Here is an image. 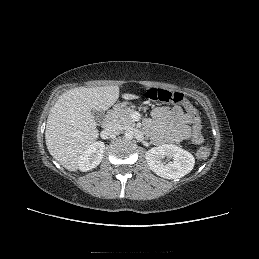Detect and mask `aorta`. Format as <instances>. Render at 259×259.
<instances>
[{
	"label": "aorta",
	"instance_id": "obj_1",
	"mask_svg": "<svg viewBox=\"0 0 259 259\" xmlns=\"http://www.w3.org/2000/svg\"><path fill=\"white\" fill-rule=\"evenodd\" d=\"M125 139L132 140L134 137V132L132 130H127L124 134Z\"/></svg>",
	"mask_w": 259,
	"mask_h": 259
}]
</instances>
